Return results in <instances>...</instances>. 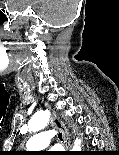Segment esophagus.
<instances>
[{
    "mask_svg": "<svg viewBox=\"0 0 119 155\" xmlns=\"http://www.w3.org/2000/svg\"><path fill=\"white\" fill-rule=\"evenodd\" d=\"M50 121L53 126H55L58 130L61 131L65 150L69 151L71 146H70V134L68 129L66 128L64 123L61 120H59V118H57L55 114L51 115Z\"/></svg>",
    "mask_w": 119,
    "mask_h": 155,
    "instance_id": "1",
    "label": "esophagus"
}]
</instances>
